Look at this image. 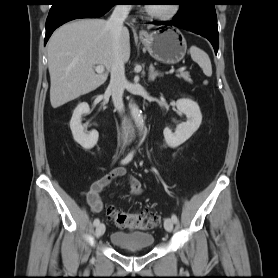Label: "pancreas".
<instances>
[{
    "mask_svg": "<svg viewBox=\"0 0 278 278\" xmlns=\"http://www.w3.org/2000/svg\"><path fill=\"white\" fill-rule=\"evenodd\" d=\"M178 77L183 78L187 82H192L190 75L187 72L180 73V75H178Z\"/></svg>",
    "mask_w": 278,
    "mask_h": 278,
    "instance_id": "1",
    "label": "pancreas"
}]
</instances>
